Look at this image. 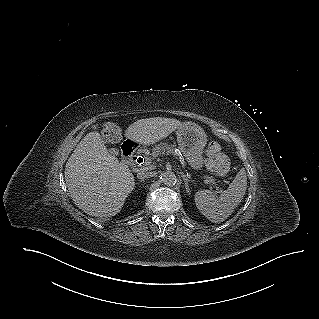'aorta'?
<instances>
[{
	"instance_id": "1",
	"label": "aorta",
	"mask_w": 319,
	"mask_h": 319,
	"mask_svg": "<svg viewBox=\"0 0 319 319\" xmlns=\"http://www.w3.org/2000/svg\"><path fill=\"white\" fill-rule=\"evenodd\" d=\"M161 179L162 182L167 186H174L177 183L176 175L171 171L162 173Z\"/></svg>"
}]
</instances>
